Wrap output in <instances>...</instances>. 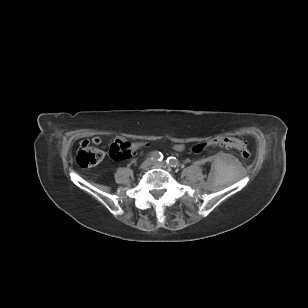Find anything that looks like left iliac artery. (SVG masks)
<instances>
[{
    "instance_id": "44dca946",
    "label": "left iliac artery",
    "mask_w": 308,
    "mask_h": 308,
    "mask_svg": "<svg viewBox=\"0 0 308 308\" xmlns=\"http://www.w3.org/2000/svg\"><path fill=\"white\" fill-rule=\"evenodd\" d=\"M167 164L170 165L171 167H179V161L175 157H168L166 160Z\"/></svg>"
}]
</instances>
